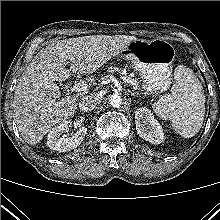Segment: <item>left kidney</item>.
I'll return each mask as SVG.
<instances>
[{
  "label": "left kidney",
  "instance_id": "1",
  "mask_svg": "<svg viewBox=\"0 0 220 220\" xmlns=\"http://www.w3.org/2000/svg\"><path fill=\"white\" fill-rule=\"evenodd\" d=\"M135 124L137 133L146 141L152 144H160L164 140L163 129L148 108L136 109Z\"/></svg>",
  "mask_w": 220,
  "mask_h": 220
}]
</instances>
